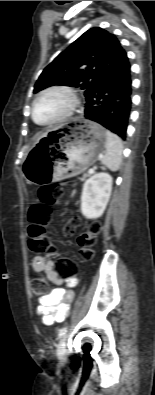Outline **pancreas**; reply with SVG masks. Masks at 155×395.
<instances>
[{
    "label": "pancreas",
    "mask_w": 155,
    "mask_h": 395,
    "mask_svg": "<svg viewBox=\"0 0 155 395\" xmlns=\"http://www.w3.org/2000/svg\"><path fill=\"white\" fill-rule=\"evenodd\" d=\"M89 176V174H87V173H85V174H83V179H85V178H87Z\"/></svg>",
    "instance_id": "cf45deb5"
}]
</instances>
